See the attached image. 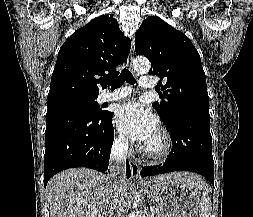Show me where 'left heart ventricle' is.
<instances>
[{
    "label": "left heart ventricle",
    "instance_id": "left-heart-ventricle-1",
    "mask_svg": "<svg viewBox=\"0 0 253 217\" xmlns=\"http://www.w3.org/2000/svg\"><path fill=\"white\" fill-rule=\"evenodd\" d=\"M159 145H160V139L158 136V132H156L144 146H146L147 148L151 150H155L159 147Z\"/></svg>",
    "mask_w": 253,
    "mask_h": 217
}]
</instances>
